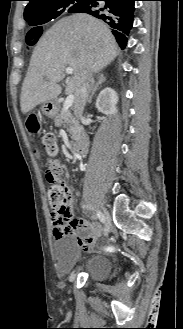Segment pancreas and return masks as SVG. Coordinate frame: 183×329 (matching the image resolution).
<instances>
[{
	"label": "pancreas",
	"mask_w": 183,
	"mask_h": 329,
	"mask_svg": "<svg viewBox=\"0 0 183 329\" xmlns=\"http://www.w3.org/2000/svg\"><path fill=\"white\" fill-rule=\"evenodd\" d=\"M53 118L56 126L62 125L69 132L72 138L75 137L78 131L79 122L72 115L70 110H67L65 113H63L62 110H58Z\"/></svg>",
	"instance_id": "obj_1"
}]
</instances>
